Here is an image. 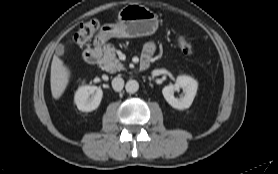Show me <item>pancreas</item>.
<instances>
[{
	"instance_id": "pancreas-1",
	"label": "pancreas",
	"mask_w": 278,
	"mask_h": 174,
	"mask_svg": "<svg viewBox=\"0 0 278 174\" xmlns=\"http://www.w3.org/2000/svg\"><path fill=\"white\" fill-rule=\"evenodd\" d=\"M115 52L116 49L111 45H107L103 49L102 69L109 73H115L124 69V65L117 59Z\"/></svg>"
}]
</instances>
